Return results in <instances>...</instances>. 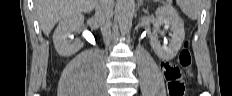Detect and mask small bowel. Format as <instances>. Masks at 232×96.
Instances as JSON below:
<instances>
[{
  "label": "small bowel",
  "mask_w": 232,
  "mask_h": 96,
  "mask_svg": "<svg viewBox=\"0 0 232 96\" xmlns=\"http://www.w3.org/2000/svg\"><path fill=\"white\" fill-rule=\"evenodd\" d=\"M162 68H171V63H162Z\"/></svg>",
  "instance_id": "obj_1"
}]
</instances>
